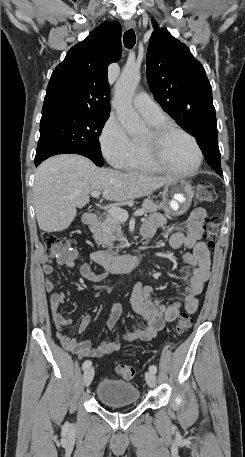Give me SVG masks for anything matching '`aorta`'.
<instances>
[{
    "mask_svg": "<svg viewBox=\"0 0 245 457\" xmlns=\"http://www.w3.org/2000/svg\"><path fill=\"white\" fill-rule=\"evenodd\" d=\"M140 71L136 67L126 66L115 85L113 107L118 118L129 134H140L145 125L132 105L136 87L140 81Z\"/></svg>",
    "mask_w": 245,
    "mask_h": 457,
    "instance_id": "aorta-1",
    "label": "aorta"
}]
</instances>
